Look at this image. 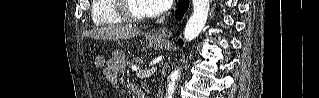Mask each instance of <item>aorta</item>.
<instances>
[{
    "label": "aorta",
    "instance_id": "1",
    "mask_svg": "<svg viewBox=\"0 0 319 98\" xmlns=\"http://www.w3.org/2000/svg\"><path fill=\"white\" fill-rule=\"evenodd\" d=\"M209 0H193V13L189 18L185 29L184 39L187 42L194 40L204 28L208 13H209ZM180 78V69L174 70L170 76L167 86V98H172L175 92L177 80Z\"/></svg>",
    "mask_w": 319,
    "mask_h": 98
}]
</instances>
